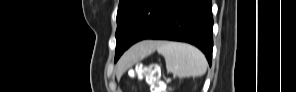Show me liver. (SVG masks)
Segmentation results:
<instances>
[{"mask_svg": "<svg viewBox=\"0 0 296 92\" xmlns=\"http://www.w3.org/2000/svg\"><path fill=\"white\" fill-rule=\"evenodd\" d=\"M157 42L143 41L127 51L117 64V76L156 49Z\"/></svg>", "mask_w": 296, "mask_h": 92, "instance_id": "liver-1", "label": "liver"}]
</instances>
